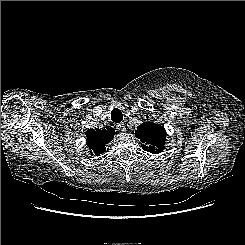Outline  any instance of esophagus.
Instances as JSON below:
<instances>
[{"label": "esophagus", "instance_id": "esophagus-1", "mask_svg": "<svg viewBox=\"0 0 245 245\" xmlns=\"http://www.w3.org/2000/svg\"><path fill=\"white\" fill-rule=\"evenodd\" d=\"M117 128H118L120 131H122V132L126 131V126H125V124H124L123 122L118 123V124H117Z\"/></svg>", "mask_w": 245, "mask_h": 245}]
</instances>
